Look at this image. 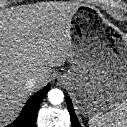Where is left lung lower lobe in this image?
<instances>
[{
	"instance_id": "1",
	"label": "left lung lower lobe",
	"mask_w": 127,
	"mask_h": 127,
	"mask_svg": "<svg viewBox=\"0 0 127 127\" xmlns=\"http://www.w3.org/2000/svg\"><path fill=\"white\" fill-rule=\"evenodd\" d=\"M66 102H67V107H68V110H69V113H70L72 126L73 127H81V125H80V123H79V121H78V119L75 115L73 105H72V102H71L69 97L66 98Z\"/></svg>"
}]
</instances>
